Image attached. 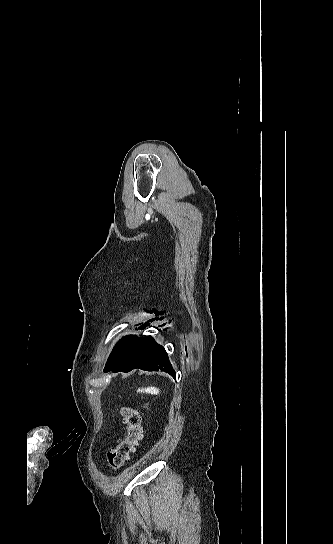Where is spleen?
Returning a JSON list of instances; mask_svg holds the SVG:
<instances>
[{"label":"spleen","mask_w":333,"mask_h":544,"mask_svg":"<svg viewBox=\"0 0 333 544\" xmlns=\"http://www.w3.org/2000/svg\"><path fill=\"white\" fill-rule=\"evenodd\" d=\"M138 392H146V393L157 395V394H159L160 391H159L158 388L148 387V388H145V389H138Z\"/></svg>","instance_id":"3e777b00"}]
</instances>
